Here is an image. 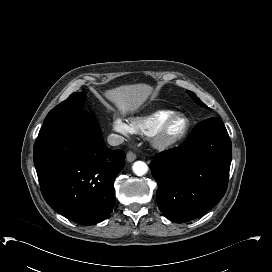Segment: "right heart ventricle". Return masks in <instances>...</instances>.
Segmentation results:
<instances>
[{
	"label": "right heart ventricle",
	"mask_w": 272,
	"mask_h": 272,
	"mask_svg": "<svg viewBox=\"0 0 272 272\" xmlns=\"http://www.w3.org/2000/svg\"><path fill=\"white\" fill-rule=\"evenodd\" d=\"M173 115L174 112L172 111L161 110L147 117L133 119L130 124L132 128L138 130L140 133L146 136H152L158 128Z\"/></svg>",
	"instance_id": "1"
}]
</instances>
